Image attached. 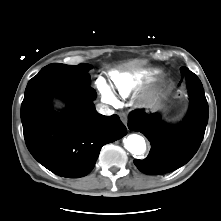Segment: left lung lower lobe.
Segmentation results:
<instances>
[{
	"instance_id": "left-lung-lower-lobe-1",
	"label": "left lung lower lobe",
	"mask_w": 221,
	"mask_h": 221,
	"mask_svg": "<svg viewBox=\"0 0 221 221\" xmlns=\"http://www.w3.org/2000/svg\"><path fill=\"white\" fill-rule=\"evenodd\" d=\"M190 96V108L182 124L177 127L164 123L159 113L143 110L130 113L128 128L141 132L150 141L151 150L144 160L135 159L137 168L148 175H161L186 164L197 152L208 122V104L199 78L182 67Z\"/></svg>"
}]
</instances>
